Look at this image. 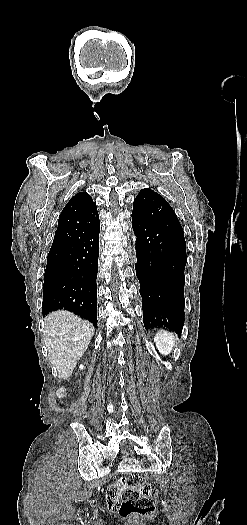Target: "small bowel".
Returning a JSON list of instances; mask_svg holds the SVG:
<instances>
[{"label":"small bowel","mask_w":247,"mask_h":525,"mask_svg":"<svg viewBox=\"0 0 247 525\" xmlns=\"http://www.w3.org/2000/svg\"><path fill=\"white\" fill-rule=\"evenodd\" d=\"M122 483L118 479H114L110 482V485L106 491V505L109 507L110 512L115 513L118 510V502L116 500V496L118 494L119 489L121 488Z\"/></svg>","instance_id":"small-bowel-1"}]
</instances>
